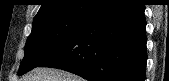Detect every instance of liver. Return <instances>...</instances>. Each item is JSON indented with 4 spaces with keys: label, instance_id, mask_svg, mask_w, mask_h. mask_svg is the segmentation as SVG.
<instances>
[{
    "label": "liver",
    "instance_id": "6515ba94",
    "mask_svg": "<svg viewBox=\"0 0 169 81\" xmlns=\"http://www.w3.org/2000/svg\"><path fill=\"white\" fill-rule=\"evenodd\" d=\"M23 79V81H81L78 76L53 68H36Z\"/></svg>",
    "mask_w": 169,
    "mask_h": 81
}]
</instances>
